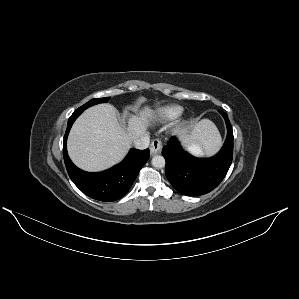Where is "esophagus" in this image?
I'll return each mask as SVG.
<instances>
[{"label":"esophagus","mask_w":299,"mask_h":299,"mask_svg":"<svg viewBox=\"0 0 299 299\" xmlns=\"http://www.w3.org/2000/svg\"><path fill=\"white\" fill-rule=\"evenodd\" d=\"M162 148V142L159 139H154L150 145V153L152 155L160 153Z\"/></svg>","instance_id":"34e87169"}]
</instances>
